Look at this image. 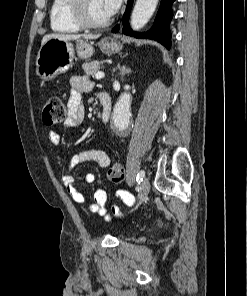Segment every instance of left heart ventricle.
Returning <instances> with one entry per match:
<instances>
[{"label": "left heart ventricle", "mask_w": 247, "mask_h": 296, "mask_svg": "<svg viewBox=\"0 0 247 296\" xmlns=\"http://www.w3.org/2000/svg\"><path fill=\"white\" fill-rule=\"evenodd\" d=\"M85 11L87 18L92 22H102L109 18L102 0H87Z\"/></svg>", "instance_id": "obj_1"}]
</instances>
